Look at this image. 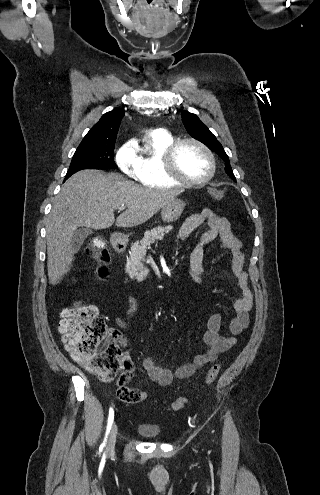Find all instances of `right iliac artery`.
Returning <instances> with one entry per match:
<instances>
[{
  "label": "right iliac artery",
  "instance_id": "82829eb1",
  "mask_svg": "<svg viewBox=\"0 0 320 495\" xmlns=\"http://www.w3.org/2000/svg\"><path fill=\"white\" fill-rule=\"evenodd\" d=\"M113 419H114V411H113L112 408H110V410H109V416H108V424H107L106 435H105V439H104L103 443L100 446L101 449H103L105 447V445H106L107 437H108V434L110 432V429H111V426H112V423H113Z\"/></svg>",
  "mask_w": 320,
  "mask_h": 495
}]
</instances>
